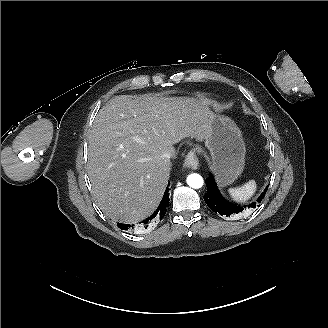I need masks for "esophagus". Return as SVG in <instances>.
Returning <instances> with one entry per match:
<instances>
[{"mask_svg":"<svg viewBox=\"0 0 328 328\" xmlns=\"http://www.w3.org/2000/svg\"><path fill=\"white\" fill-rule=\"evenodd\" d=\"M183 166L188 169H197L199 166L198 157L194 150L189 151L185 157Z\"/></svg>","mask_w":328,"mask_h":328,"instance_id":"34e87169","label":"esophagus"}]
</instances>
